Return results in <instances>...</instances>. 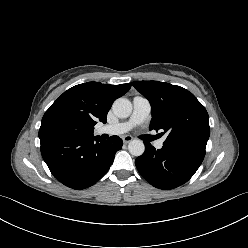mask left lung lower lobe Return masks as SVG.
I'll use <instances>...</instances> for the list:
<instances>
[{
  "label": "left lung lower lobe",
  "instance_id": "obj_1",
  "mask_svg": "<svg viewBox=\"0 0 248 248\" xmlns=\"http://www.w3.org/2000/svg\"><path fill=\"white\" fill-rule=\"evenodd\" d=\"M145 152L136 158L139 173L154 187L169 190L186 183L201 165L205 152L182 147L155 148L144 142Z\"/></svg>",
  "mask_w": 248,
  "mask_h": 248
}]
</instances>
